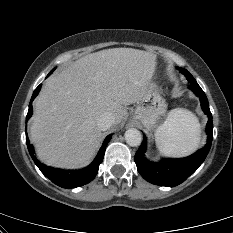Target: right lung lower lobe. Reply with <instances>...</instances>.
I'll return each instance as SVG.
<instances>
[{
	"mask_svg": "<svg viewBox=\"0 0 233 233\" xmlns=\"http://www.w3.org/2000/svg\"><path fill=\"white\" fill-rule=\"evenodd\" d=\"M52 72L53 70L48 74V76ZM40 89H41V84L35 89L32 95L26 120H28L32 115V101L38 95ZM111 137H112V134L108 135L105 138L103 145L100 148L94 161L88 167L83 168L81 170H63V169L47 167L36 160V157L34 156L33 147L32 145H30V142L27 137H26V144H27L29 153L32 159L34 160L35 164L38 166L40 171L47 178H49L53 183H55L56 185L62 188H75V187H79V186L89 183L97 175L99 165L101 164L103 160L106 146L108 142L110 141Z\"/></svg>",
	"mask_w": 233,
	"mask_h": 233,
	"instance_id": "obj_1",
	"label": "right lung lower lobe"
}]
</instances>
